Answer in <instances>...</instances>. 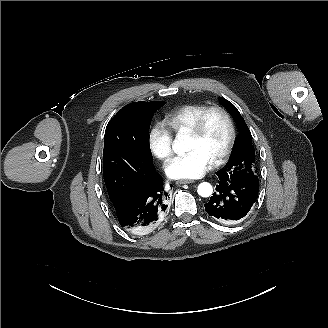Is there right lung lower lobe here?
Returning a JSON list of instances; mask_svg holds the SVG:
<instances>
[{"mask_svg": "<svg viewBox=\"0 0 328 328\" xmlns=\"http://www.w3.org/2000/svg\"><path fill=\"white\" fill-rule=\"evenodd\" d=\"M167 192L161 177L155 172L149 186L129 194L115 208L120 225L137 235L149 233L163 219L167 209Z\"/></svg>", "mask_w": 328, "mask_h": 328, "instance_id": "right-lung-lower-lobe-1", "label": "right lung lower lobe"}]
</instances>
